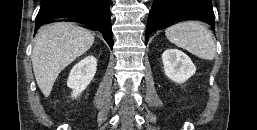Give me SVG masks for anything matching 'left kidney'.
<instances>
[{"instance_id": "left-kidney-1", "label": "left kidney", "mask_w": 257, "mask_h": 130, "mask_svg": "<svg viewBox=\"0 0 257 130\" xmlns=\"http://www.w3.org/2000/svg\"><path fill=\"white\" fill-rule=\"evenodd\" d=\"M165 75L177 84L184 83L196 72L191 59L178 49H167L162 54Z\"/></svg>"}]
</instances>
